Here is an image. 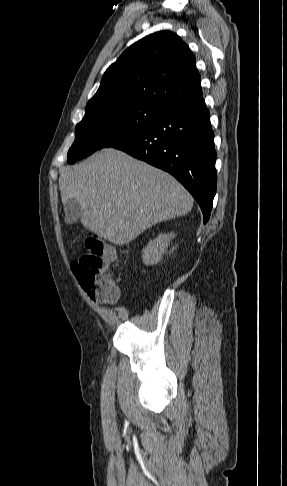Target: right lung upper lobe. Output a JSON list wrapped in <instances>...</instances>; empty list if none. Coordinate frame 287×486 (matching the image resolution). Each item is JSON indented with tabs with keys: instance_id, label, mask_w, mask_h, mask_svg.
Wrapping results in <instances>:
<instances>
[{
	"instance_id": "1",
	"label": "right lung upper lobe",
	"mask_w": 287,
	"mask_h": 486,
	"mask_svg": "<svg viewBox=\"0 0 287 486\" xmlns=\"http://www.w3.org/2000/svg\"><path fill=\"white\" fill-rule=\"evenodd\" d=\"M200 93L194 54L178 35L160 31L122 53L104 73L86 109L132 101L152 102L169 109Z\"/></svg>"
}]
</instances>
